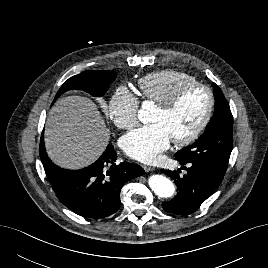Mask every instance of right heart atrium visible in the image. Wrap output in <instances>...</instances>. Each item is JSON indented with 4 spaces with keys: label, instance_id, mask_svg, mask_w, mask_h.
Listing matches in <instances>:
<instances>
[{
    "label": "right heart atrium",
    "instance_id": "right-heart-atrium-1",
    "mask_svg": "<svg viewBox=\"0 0 268 268\" xmlns=\"http://www.w3.org/2000/svg\"><path fill=\"white\" fill-rule=\"evenodd\" d=\"M139 98L125 86H119L108 102V116L122 129H130L138 122Z\"/></svg>",
    "mask_w": 268,
    "mask_h": 268
}]
</instances>
